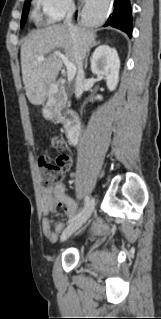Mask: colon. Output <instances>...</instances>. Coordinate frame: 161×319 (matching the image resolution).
<instances>
[{"label": "colon", "instance_id": "5ec220e1", "mask_svg": "<svg viewBox=\"0 0 161 319\" xmlns=\"http://www.w3.org/2000/svg\"><path fill=\"white\" fill-rule=\"evenodd\" d=\"M52 145L55 148V154L42 155L39 158L41 183L46 187L60 182L70 164L69 154L64 149L59 136L52 138Z\"/></svg>", "mask_w": 161, "mask_h": 319}]
</instances>
